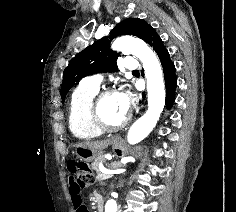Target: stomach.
Listing matches in <instances>:
<instances>
[{
    "label": "stomach",
    "instance_id": "stomach-1",
    "mask_svg": "<svg viewBox=\"0 0 236 212\" xmlns=\"http://www.w3.org/2000/svg\"><path fill=\"white\" fill-rule=\"evenodd\" d=\"M111 145H112L113 150L118 155H123L125 153V147H124L122 141L118 137H114L112 139ZM73 153L78 158H80L81 160L86 161V162H91L102 155V152L95 153L91 149L86 148V147H76L75 151Z\"/></svg>",
    "mask_w": 236,
    "mask_h": 212
}]
</instances>
